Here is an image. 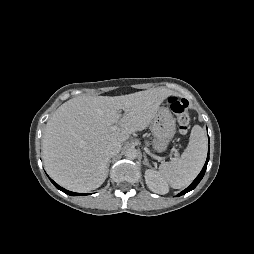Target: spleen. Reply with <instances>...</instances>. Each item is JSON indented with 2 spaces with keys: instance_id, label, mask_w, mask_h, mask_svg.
Returning a JSON list of instances; mask_svg holds the SVG:
<instances>
[{
  "instance_id": "1",
  "label": "spleen",
  "mask_w": 254,
  "mask_h": 254,
  "mask_svg": "<svg viewBox=\"0 0 254 254\" xmlns=\"http://www.w3.org/2000/svg\"><path fill=\"white\" fill-rule=\"evenodd\" d=\"M207 156V137L204 130L195 125L189 143L178 159L163 162L159 173L175 189L189 185L201 171Z\"/></svg>"
}]
</instances>
